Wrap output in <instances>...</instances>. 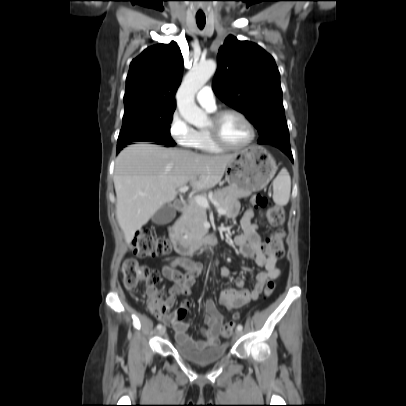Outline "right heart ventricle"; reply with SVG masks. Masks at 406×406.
<instances>
[{
	"mask_svg": "<svg viewBox=\"0 0 406 406\" xmlns=\"http://www.w3.org/2000/svg\"><path fill=\"white\" fill-rule=\"evenodd\" d=\"M192 147L204 151V152H219L221 148H219L211 139L210 135L208 134L207 130L202 129L198 131V135L192 145Z\"/></svg>",
	"mask_w": 406,
	"mask_h": 406,
	"instance_id": "e07e8e85",
	"label": "right heart ventricle"
}]
</instances>
